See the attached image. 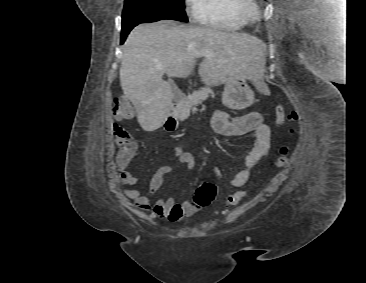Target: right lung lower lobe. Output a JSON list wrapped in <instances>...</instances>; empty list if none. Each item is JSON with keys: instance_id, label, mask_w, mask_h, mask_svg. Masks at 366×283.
<instances>
[{"instance_id": "1", "label": "right lung lower lobe", "mask_w": 366, "mask_h": 283, "mask_svg": "<svg viewBox=\"0 0 366 283\" xmlns=\"http://www.w3.org/2000/svg\"><path fill=\"white\" fill-rule=\"evenodd\" d=\"M133 27H135V25L122 27V30H121V43H123L125 41L127 35L133 29Z\"/></svg>"}]
</instances>
